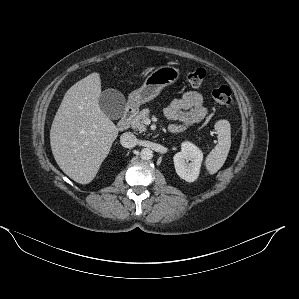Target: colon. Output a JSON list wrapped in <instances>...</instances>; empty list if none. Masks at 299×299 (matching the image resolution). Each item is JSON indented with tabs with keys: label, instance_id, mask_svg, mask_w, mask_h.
Returning <instances> with one entry per match:
<instances>
[{
	"label": "colon",
	"instance_id": "5ec220e1",
	"mask_svg": "<svg viewBox=\"0 0 299 299\" xmlns=\"http://www.w3.org/2000/svg\"><path fill=\"white\" fill-rule=\"evenodd\" d=\"M206 71L202 68L194 69L187 75V80L193 87H200L205 80ZM213 99L221 105H230L233 101L231 89L226 86H218L212 91Z\"/></svg>",
	"mask_w": 299,
	"mask_h": 299
}]
</instances>
